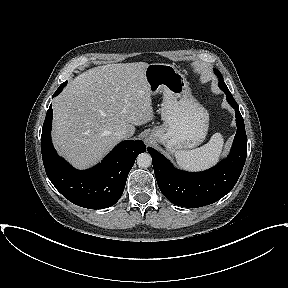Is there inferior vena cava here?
<instances>
[{
  "mask_svg": "<svg viewBox=\"0 0 288 288\" xmlns=\"http://www.w3.org/2000/svg\"><path fill=\"white\" fill-rule=\"evenodd\" d=\"M115 136H116L117 139H119V140H122V139L127 138V135H126V133H125L124 130H119V131H117V132L115 133Z\"/></svg>",
  "mask_w": 288,
  "mask_h": 288,
  "instance_id": "obj_1",
  "label": "inferior vena cava"
}]
</instances>
